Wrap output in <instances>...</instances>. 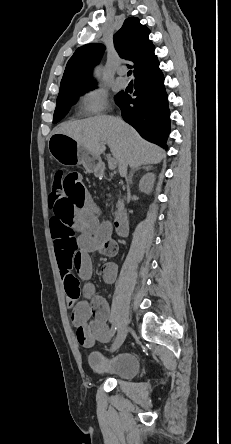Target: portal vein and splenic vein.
Masks as SVG:
<instances>
[{"label": "portal vein and splenic vein", "mask_w": 231, "mask_h": 444, "mask_svg": "<svg viewBox=\"0 0 231 444\" xmlns=\"http://www.w3.org/2000/svg\"><path fill=\"white\" fill-rule=\"evenodd\" d=\"M108 166H109L110 170H114L116 168V166H117L116 159L109 157V159H108Z\"/></svg>", "instance_id": "obj_1"}]
</instances>
